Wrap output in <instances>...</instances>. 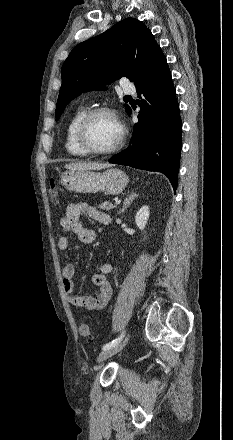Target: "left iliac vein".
Segmentation results:
<instances>
[{
  "instance_id": "obj_1",
  "label": "left iliac vein",
  "mask_w": 233,
  "mask_h": 440,
  "mask_svg": "<svg viewBox=\"0 0 233 440\" xmlns=\"http://www.w3.org/2000/svg\"><path fill=\"white\" fill-rule=\"evenodd\" d=\"M128 339H129V335L122 342L118 343L116 346L102 351L97 357V362L100 363L108 359L109 357L115 355L119 351H121L126 346Z\"/></svg>"
}]
</instances>
